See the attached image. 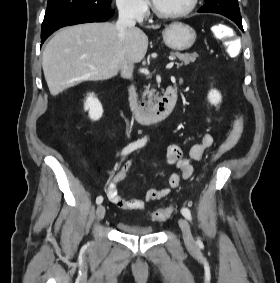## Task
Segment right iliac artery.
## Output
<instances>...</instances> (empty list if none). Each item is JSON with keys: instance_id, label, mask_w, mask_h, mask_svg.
<instances>
[{"instance_id": "82829eb1", "label": "right iliac artery", "mask_w": 280, "mask_h": 283, "mask_svg": "<svg viewBox=\"0 0 280 283\" xmlns=\"http://www.w3.org/2000/svg\"><path fill=\"white\" fill-rule=\"evenodd\" d=\"M141 142H133V143H131V144H129L128 146H126L124 149H123V151H122V155H127V154H129L130 152H132V151H134V150H136L137 148H139V147H141ZM102 201H103V197L102 196H98L97 198H96V204H101L102 203Z\"/></svg>"}]
</instances>
